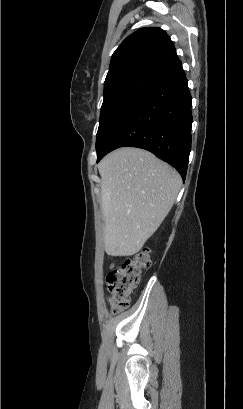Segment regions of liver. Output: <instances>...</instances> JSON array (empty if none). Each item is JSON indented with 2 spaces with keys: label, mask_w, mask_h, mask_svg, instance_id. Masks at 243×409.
Instances as JSON below:
<instances>
[{
  "label": "liver",
  "mask_w": 243,
  "mask_h": 409,
  "mask_svg": "<svg viewBox=\"0 0 243 409\" xmlns=\"http://www.w3.org/2000/svg\"><path fill=\"white\" fill-rule=\"evenodd\" d=\"M104 248L111 256H132L170 212L182 179L152 153L124 147L98 164Z\"/></svg>",
  "instance_id": "obj_1"
}]
</instances>
